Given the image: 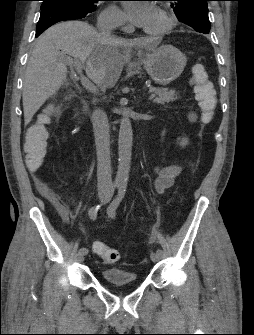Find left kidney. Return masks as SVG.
Wrapping results in <instances>:
<instances>
[{"label":"left kidney","mask_w":254,"mask_h":335,"mask_svg":"<svg viewBox=\"0 0 254 335\" xmlns=\"http://www.w3.org/2000/svg\"><path fill=\"white\" fill-rule=\"evenodd\" d=\"M189 141L188 138L182 137L177 139V144H179L182 148L186 147L188 145Z\"/></svg>","instance_id":"obj_1"}]
</instances>
